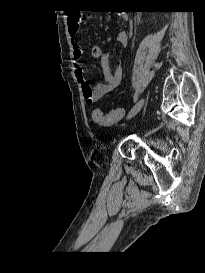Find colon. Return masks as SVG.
<instances>
[{
    "mask_svg": "<svg viewBox=\"0 0 205 273\" xmlns=\"http://www.w3.org/2000/svg\"><path fill=\"white\" fill-rule=\"evenodd\" d=\"M76 20L81 23V19L78 16H76ZM125 114L126 112L123 108L113 109L106 114L101 109L95 108L92 111V118L95 123L101 126H109L123 119Z\"/></svg>",
    "mask_w": 205,
    "mask_h": 273,
    "instance_id": "obj_1",
    "label": "colon"
}]
</instances>
